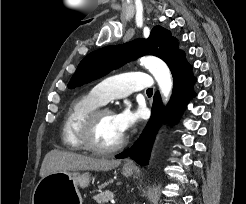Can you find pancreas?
<instances>
[{
	"label": "pancreas",
	"mask_w": 246,
	"mask_h": 204,
	"mask_svg": "<svg viewBox=\"0 0 246 204\" xmlns=\"http://www.w3.org/2000/svg\"><path fill=\"white\" fill-rule=\"evenodd\" d=\"M114 193L111 191H104L101 192L97 195L94 196V200L98 203V204H105L108 203L111 199L114 198Z\"/></svg>",
	"instance_id": "pancreas-1"
}]
</instances>
